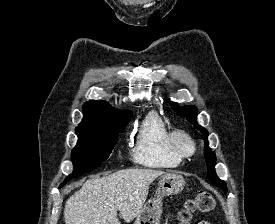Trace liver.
Segmentation results:
<instances>
[{"instance_id": "1", "label": "liver", "mask_w": 275, "mask_h": 224, "mask_svg": "<svg viewBox=\"0 0 275 224\" xmlns=\"http://www.w3.org/2000/svg\"><path fill=\"white\" fill-rule=\"evenodd\" d=\"M164 172L125 169L87 180L67 201L66 224H121L117 211L129 223L141 212L151 183Z\"/></svg>"}]
</instances>
